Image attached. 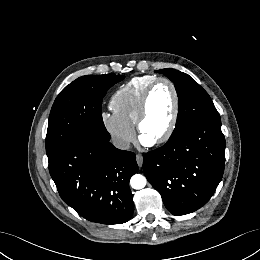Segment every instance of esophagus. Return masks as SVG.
<instances>
[{
	"label": "esophagus",
	"mask_w": 260,
	"mask_h": 260,
	"mask_svg": "<svg viewBox=\"0 0 260 260\" xmlns=\"http://www.w3.org/2000/svg\"><path fill=\"white\" fill-rule=\"evenodd\" d=\"M136 161L139 167H142L143 165V156L141 154L136 155Z\"/></svg>",
	"instance_id": "1"
}]
</instances>
